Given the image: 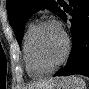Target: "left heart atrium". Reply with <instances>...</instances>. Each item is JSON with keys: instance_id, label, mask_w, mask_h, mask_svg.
Here are the masks:
<instances>
[{"instance_id": "1", "label": "left heart atrium", "mask_w": 89, "mask_h": 89, "mask_svg": "<svg viewBox=\"0 0 89 89\" xmlns=\"http://www.w3.org/2000/svg\"><path fill=\"white\" fill-rule=\"evenodd\" d=\"M55 26L59 29L60 27L57 25V24H55ZM60 30V29H59Z\"/></svg>"}]
</instances>
